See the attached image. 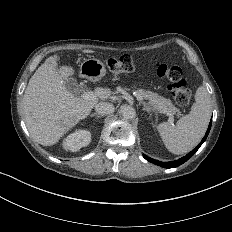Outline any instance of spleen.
<instances>
[{
    "instance_id": "obj_1",
    "label": "spleen",
    "mask_w": 232,
    "mask_h": 232,
    "mask_svg": "<svg viewBox=\"0 0 232 232\" xmlns=\"http://www.w3.org/2000/svg\"><path fill=\"white\" fill-rule=\"evenodd\" d=\"M211 117L210 95L204 87L195 93V103L189 114L181 117L176 125L163 122L157 126L166 148L181 155L192 150L204 136Z\"/></svg>"
}]
</instances>
